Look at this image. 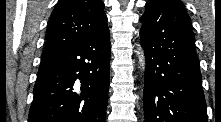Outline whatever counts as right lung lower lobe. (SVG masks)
Returning <instances> with one entry per match:
<instances>
[{"label": "right lung lower lobe", "mask_w": 221, "mask_h": 122, "mask_svg": "<svg viewBox=\"0 0 221 122\" xmlns=\"http://www.w3.org/2000/svg\"><path fill=\"white\" fill-rule=\"evenodd\" d=\"M110 33L42 58L28 122H105Z\"/></svg>", "instance_id": "98d812e1"}]
</instances>
